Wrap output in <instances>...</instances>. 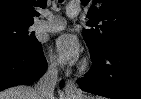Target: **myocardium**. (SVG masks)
Segmentation results:
<instances>
[{
	"instance_id": "myocardium-1",
	"label": "myocardium",
	"mask_w": 141,
	"mask_h": 99,
	"mask_svg": "<svg viewBox=\"0 0 141 99\" xmlns=\"http://www.w3.org/2000/svg\"><path fill=\"white\" fill-rule=\"evenodd\" d=\"M90 66H91L90 61H89V60H85V61L81 64V66H80V71H81V72H86V71L89 70Z\"/></svg>"
}]
</instances>
